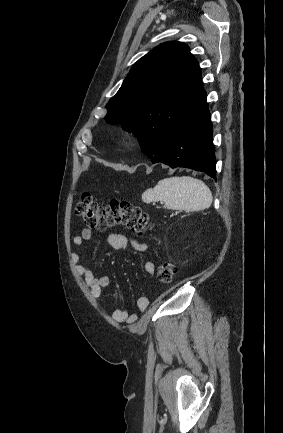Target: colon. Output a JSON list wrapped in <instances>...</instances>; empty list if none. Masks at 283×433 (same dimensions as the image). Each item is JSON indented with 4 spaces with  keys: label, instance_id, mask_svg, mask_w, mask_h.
<instances>
[{
    "label": "colon",
    "instance_id": "colon-1",
    "mask_svg": "<svg viewBox=\"0 0 283 433\" xmlns=\"http://www.w3.org/2000/svg\"><path fill=\"white\" fill-rule=\"evenodd\" d=\"M75 214L91 228L103 231L115 225H123L142 236L151 227L149 216L138 206L125 200H111L100 205L90 193H84L75 207ZM177 272L171 261L164 262L158 269L157 280L170 283Z\"/></svg>",
    "mask_w": 283,
    "mask_h": 433
}]
</instances>
